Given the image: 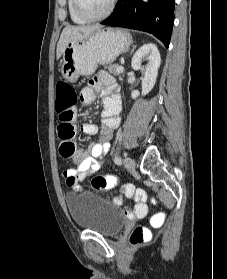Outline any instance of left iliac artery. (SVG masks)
I'll return each instance as SVG.
<instances>
[{
	"instance_id": "1",
	"label": "left iliac artery",
	"mask_w": 227,
	"mask_h": 279,
	"mask_svg": "<svg viewBox=\"0 0 227 279\" xmlns=\"http://www.w3.org/2000/svg\"><path fill=\"white\" fill-rule=\"evenodd\" d=\"M114 162H115V164L120 165L121 164V158L119 156H115Z\"/></svg>"
}]
</instances>
